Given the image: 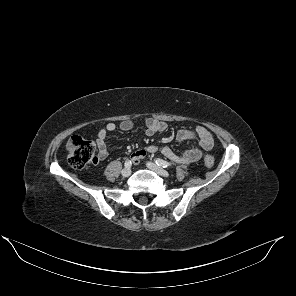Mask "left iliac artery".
I'll return each mask as SVG.
<instances>
[{
	"mask_svg": "<svg viewBox=\"0 0 296 296\" xmlns=\"http://www.w3.org/2000/svg\"><path fill=\"white\" fill-rule=\"evenodd\" d=\"M155 163H156L158 166H161V167H163V168L173 167L172 164H170L169 162L164 161V160L159 159V158L155 160Z\"/></svg>",
	"mask_w": 296,
	"mask_h": 296,
	"instance_id": "left-iliac-artery-1",
	"label": "left iliac artery"
}]
</instances>
